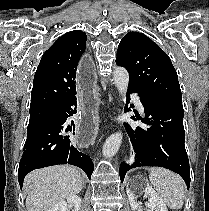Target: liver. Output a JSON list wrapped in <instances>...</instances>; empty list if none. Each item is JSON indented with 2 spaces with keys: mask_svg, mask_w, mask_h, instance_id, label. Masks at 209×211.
<instances>
[{
  "mask_svg": "<svg viewBox=\"0 0 209 211\" xmlns=\"http://www.w3.org/2000/svg\"><path fill=\"white\" fill-rule=\"evenodd\" d=\"M24 187L28 189L27 211H49L81 191L82 177L73 166H51L30 172L24 179Z\"/></svg>",
  "mask_w": 209,
  "mask_h": 211,
  "instance_id": "obj_1",
  "label": "liver"
}]
</instances>
